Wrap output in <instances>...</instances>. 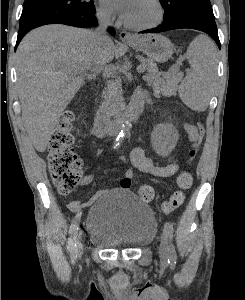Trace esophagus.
Masks as SVG:
<instances>
[{
  "label": "esophagus",
  "instance_id": "esophagus-1",
  "mask_svg": "<svg viewBox=\"0 0 245 300\" xmlns=\"http://www.w3.org/2000/svg\"><path fill=\"white\" fill-rule=\"evenodd\" d=\"M119 37L123 42H130L135 40V37L127 31H121Z\"/></svg>",
  "mask_w": 245,
  "mask_h": 300
}]
</instances>
